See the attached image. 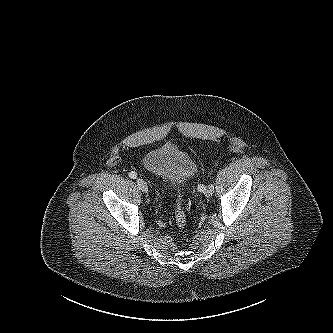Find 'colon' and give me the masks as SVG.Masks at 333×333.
<instances>
[{
	"label": "colon",
	"mask_w": 333,
	"mask_h": 333,
	"mask_svg": "<svg viewBox=\"0 0 333 333\" xmlns=\"http://www.w3.org/2000/svg\"><path fill=\"white\" fill-rule=\"evenodd\" d=\"M175 222H176L177 226L181 229L185 228V226L187 224V217H186V213L183 208V198H182L181 194L178 195V198L176 200Z\"/></svg>",
	"instance_id": "colon-1"
}]
</instances>
